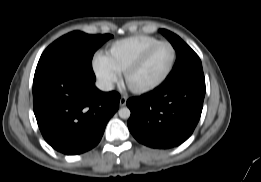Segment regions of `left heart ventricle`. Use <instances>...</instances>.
Instances as JSON below:
<instances>
[{
    "instance_id": "left-heart-ventricle-1",
    "label": "left heart ventricle",
    "mask_w": 261,
    "mask_h": 182,
    "mask_svg": "<svg viewBox=\"0 0 261 182\" xmlns=\"http://www.w3.org/2000/svg\"><path fill=\"white\" fill-rule=\"evenodd\" d=\"M172 59V50L168 46L157 48L146 62L129 78V85L140 88L156 82L167 70Z\"/></svg>"
}]
</instances>
